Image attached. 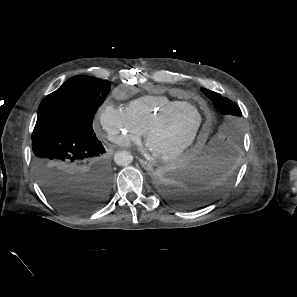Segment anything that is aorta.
I'll return each mask as SVG.
<instances>
[{"label":"aorta","instance_id":"762f6f07","mask_svg":"<svg viewBox=\"0 0 297 297\" xmlns=\"http://www.w3.org/2000/svg\"><path fill=\"white\" fill-rule=\"evenodd\" d=\"M114 161L119 166L132 163L133 156L128 151H119L114 155Z\"/></svg>","mask_w":297,"mask_h":297}]
</instances>
